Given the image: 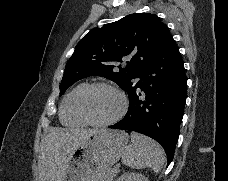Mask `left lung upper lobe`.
<instances>
[{
	"label": "left lung upper lobe",
	"instance_id": "left-lung-upper-lobe-1",
	"mask_svg": "<svg viewBox=\"0 0 228 181\" xmlns=\"http://www.w3.org/2000/svg\"><path fill=\"white\" fill-rule=\"evenodd\" d=\"M168 27L155 14L136 13L92 29L80 40L67 62L60 95L76 81L103 76L128 94L145 64L171 38ZM127 58L126 66L121 63Z\"/></svg>",
	"mask_w": 228,
	"mask_h": 181
}]
</instances>
